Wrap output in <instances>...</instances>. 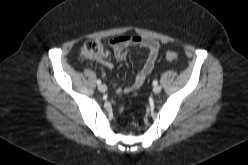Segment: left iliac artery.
<instances>
[{"instance_id":"obj_1","label":"left iliac artery","mask_w":248,"mask_h":165,"mask_svg":"<svg viewBox=\"0 0 248 165\" xmlns=\"http://www.w3.org/2000/svg\"><path fill=\"white\" fill-rule=\"evenodd\" d=\"M158 84V81L157 80H154L153 81V85H157Z\"/></svg>"}]
</instances>
